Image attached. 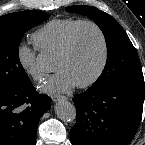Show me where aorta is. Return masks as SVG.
Segmentation results:
<instances>
[{"mask_svg":"<svg viewBox=\"0 0 145 145\" xmlns=\"http://www.w3.org/2000/svg\"><path fill=\"white\" fill-rule=\"evenodd\" d=\"M41 57H39V60ZM58 118L64 122H73L76 119V108L69 101L62 99L55 106Z\"/></svg>","mask_w":145,"mask_h":145,"instance_id":"1","label":"aorta"}]
</instances>
